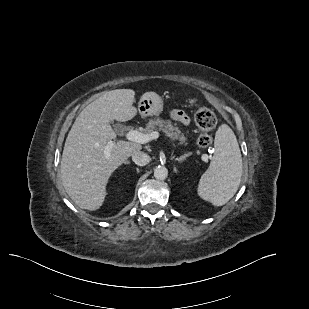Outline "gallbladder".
I'll return each mask as SVG.
<instances>
[{
	"label": "gallbladder",
	"instance_id": "obj_1",
	"mask_svg": "<svg viewBox=\"0 0 309 309\" xmlns=\"http://www.w3.org/2000/svg\"><path fill=\"white\" fill-rule=\"evenodd\" d=\"M120 127H121L120 125H116V126H115L116 129H119Z\"/></svg>",
	"mask_w": 309,
	"mask_h": 309
}]
</instances>
